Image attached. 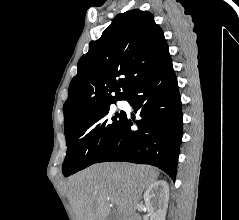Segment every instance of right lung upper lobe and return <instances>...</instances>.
I'll use <instances>...</instances> for the list:
<instances>
[{
	"label": "right lung upper lobe",
	"mask_w": 239,
	"mask_h": 220,
	"mask_svg": "<svg viewBox=\"0 0 239 220\" xmlns=\"http://www.w3.org/2000/svg\"><path fill=\"white\" fill-rule=\"evenodd\" d=\"M169 60L163 31L150 12L133 9L117 15L77 64L63 106L64 130L95 109L125 100Z\"/></svg>",
	"instance_id": "obj_1"
}]
</instances>
